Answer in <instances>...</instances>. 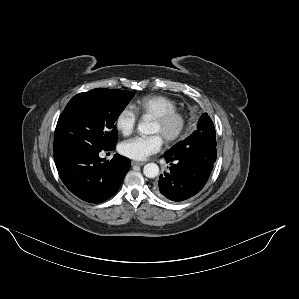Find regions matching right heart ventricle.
<instances>
[{
    "label": "right heart ventricle",
    "mask_w": 299,
    "mask_h": 299,
    "mask_svg": "<svg viewBox=\"0 0 299 299\" xmlns=\"http://www.w3.org/2000/svg\"><path fill=\"white\" fill-rule=\"evenodd\" d=\"M177 107V102L174 99L162 94L142 96L132 105V108L137 115L151 118L168 111L176 110Z\"/></svg>",
    "instance_id": "e07e8e85"
}]
</instances>
